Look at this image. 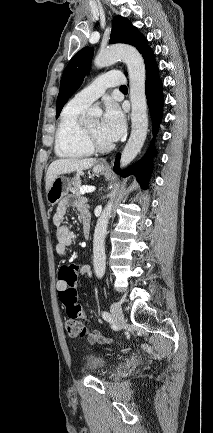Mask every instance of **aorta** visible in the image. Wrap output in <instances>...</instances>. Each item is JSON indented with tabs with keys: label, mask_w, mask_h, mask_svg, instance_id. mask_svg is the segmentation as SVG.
Here are the masks:
<instances>
[{
	"label": "aorta",
	"mask_w": 213,
	"mask_h": 433,
	"mask_svg": "<svg viewBox=\"0 0 213 433\" xmlns=\"http://www.w3.org/2000/svg\"><path fill=\"white\" fill-rule=\"evenodd\" d=\"M119 59L123 60L128 69L129 89L131 101V135L126 143L121 159L120 167H126L140 152L148 131L147 100L145 93L146 71L143 57L131 46L116 45L101 51L94 59V65L98 68L109 66ZM99 112L98 108H91L89 116H94ZM118 184L114 185L110 194V200L105 206L101 216L98 218L94 239H93V265L97 278H102L105 274V237L107 226L111 217L114 198L117 194Z\"/></svg>",
	"instance_id": "762f6f07"
}]
</instances>
